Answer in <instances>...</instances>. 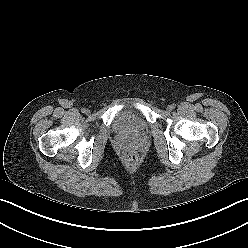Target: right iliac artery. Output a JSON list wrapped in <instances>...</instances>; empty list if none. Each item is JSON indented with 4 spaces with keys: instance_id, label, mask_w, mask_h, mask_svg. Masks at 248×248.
<instances>
[{
    "instance_id": "obj_1",
    "label": "right iliac artery",
    "mask_w": 248,
    "mask_h": 248,
    "mask_svg": "<svg viewBox=\"0 0 248 248\" xmlns=\"http://www.w3.org/2000/svg\"><path fill=\"white\" fill-rule=\"evenodd\" d=\"M81 112H82V113H85V112H86V109H85V108H82V109H81Z\"/></svg>"
}]
</instances>
